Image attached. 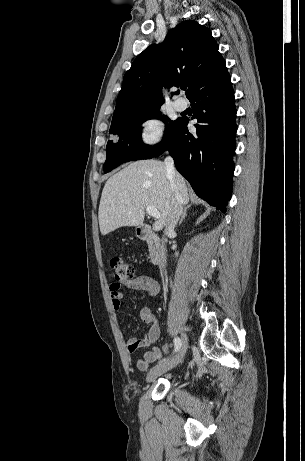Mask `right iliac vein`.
<instances>
[{
    "label": "right iliac vein",
    "mask_w": 305,
    "mask_h": 461,
    "mask_svg": "<svg viewBox=\"0 0 305 461\" xmlns=\"http://www.w3.org/2000/svg\"><path fill=\"white\" fill-rule=\"evenodd\" d=\"M181 338H182V346L180 347L179 351L168 361L161 363L155 366L154 368H152L147 375V378H146L147 382L154 381L158 376L174 368L177 364H179L183 360L186 350H187L188 336L185 332L182 331Z\"/></svg>",
    "instance_id": "obj_1"
}]
</instances>
